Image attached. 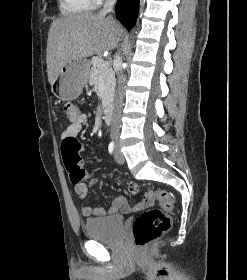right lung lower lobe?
<instances>
[{"label":"right lung lower lobe","instance_id":"98d812e1","mask_svg":"<svg viewBox=\"0 0 247 280\" xmlns=\"http://www.w3.org/2000/svg\"><path fill=\"white\" fill-rule=\"evenodd\" d=\"M138 6L139 0H118L116 4V16L128 30L135 25Z\"/></svg>","mask_w":247,"mask_h":280}]
</instances>
